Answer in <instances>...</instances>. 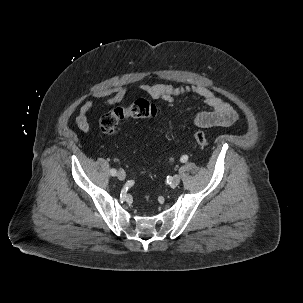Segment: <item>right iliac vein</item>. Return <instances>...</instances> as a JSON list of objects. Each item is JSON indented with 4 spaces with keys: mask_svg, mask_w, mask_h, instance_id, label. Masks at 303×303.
I'll use <instances>...</instances> for the list:
<instances>
[{
    "mask_svg": "<svg viewBox=\"0 0 303 303\" xmlns=\"http://www.w3.org/2000/svg\"><path fill=\"white\" fill-rule=\"evenodd\" d=\"M117 177L119 180H124L126 178V173L123 169H120L117 173Z\"/></svg>",
    "mask_w": 303,
    "mask_h": 303,
    "instance_id": "1",
    "label": "right iliac vein"
}]
</instances>
